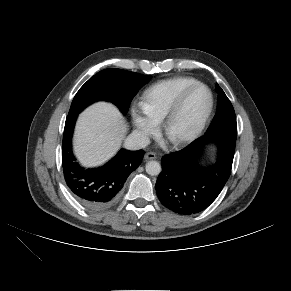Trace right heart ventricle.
I'll use <instances>...</instances> for the list:
<instances>
[{
  "label": "right heart ventricle",
  "mask_w": 291,
  "mask_h": 291,
  "mask_svg": "<svg viewBox=\"0 0 291 291\" xmlns=\"http://www.w3.org/2000/svg\"><path fill=\"white\" fill-rule=\"evenodd\" d=\"M199 81L189 76L161 80L148 87L141 97V108L155 122L160 123L178 96Z\"/></svg>",
  "instance_id": "obj_1"
}]
</instances>
